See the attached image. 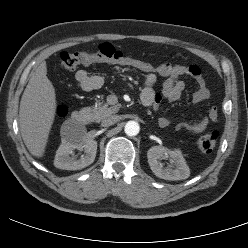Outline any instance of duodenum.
<instances>
[{"mask_svg": "<svg viewBox=\"0 0 248 248\" xmlns=\"http://www.w3.org/2000/svg\"><path fill=\"white\" fill-rule=\"evenodd\" d=\"M144 104L148 106V103H144ZM90 120H91V116L86 111H76L72 116V121L80 126L88 124Z\"/></svg>", "mask_w": 248, "mask_h": 248, "instance_id": "duodenum-1", "label": "duodenum"}]
</instances>
